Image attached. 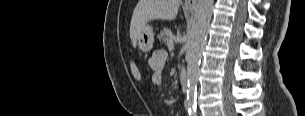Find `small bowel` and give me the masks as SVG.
<instances>
[{
	"label": "small bowel",
	"mask_w": 305,
	"mask_h": 116,
	"mask_svg": "<svg viewBox=\"0 0 305 116\" xmlns=\"http://www.w3.org/2000/svg\"><path fill=\"white\" fill-rule=\"evenodd\" d=\"M166 52L163 50L155 51L149 58V66L153 72L152 81L157 86L160 87L163 83L162 71L166 61Z\"/></svg>",
	"instance_id": "1"
}]
</instances>
